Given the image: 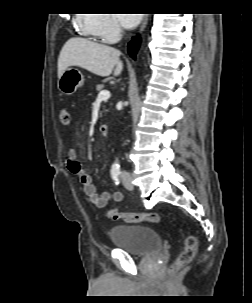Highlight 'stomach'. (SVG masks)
<instances>
[{"label":"stomach","mask_w":252,"mask_h":303,"mask_svg":"<svg viewBox=\"0 0 252 303\" xmlns=\"http://www.w3.org/2000/svg\"><path fill=\"white\" fill-rule=\"evenodd\" d=\"M83 82L84 76L81 71L76 68L69 67L58 79L57 87L61 93L71 95L83 85Z\"/></svg>","instance_id":"1"}]
</instances>
